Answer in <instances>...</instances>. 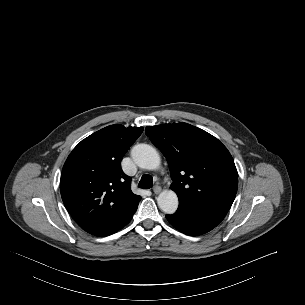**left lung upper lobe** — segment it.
I'll return each mask as SVG.
<instances>
[{
	"label": "left lung upper lobe",
	"instance_id": "5c2ea615",
	"mask_svg": "<svg viewBox=\"0 0 305 305\" xmlns=\"http://www.w3.org/2000/svg\"><path fill=\"white\" fill-rule=\"evenodd\" d=\"M166 156L179 203L232 205L238 172L227 148L206 131L187 123L162 124L145 129Z\"/></svg>",
	"mask_w": 305,
	"mask_h": 305
}]
</instances>
